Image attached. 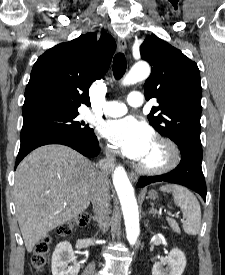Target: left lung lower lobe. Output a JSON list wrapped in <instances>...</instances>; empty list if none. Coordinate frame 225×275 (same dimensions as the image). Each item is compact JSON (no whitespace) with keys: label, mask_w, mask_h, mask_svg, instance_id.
I'll return each instance as SVG.
<instances>
[{"label":"left lung lower lobe","mask_w":225,"mask_h":275,"mask_svg":"<svg viewBox=\"0 0 225 275\" xmlns=\"http://www.w3.org/2000/svg\"><path fill=\"white\" fill-rule=\"evenodd\" d=\"M180 149V164L171 172L160 176L141 177L138 187H144L154 182H170L180 184L199 193L206 201V184L202 172L201 144H187Z\"/></svg>","instance_id":"0a47b994"}]
</instances>
